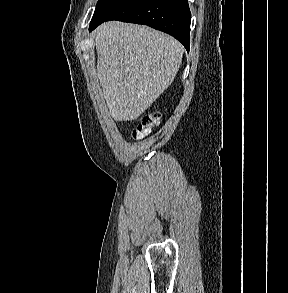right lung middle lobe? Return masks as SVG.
I'll return each mask as SVG.
<instances>
[{
	"instance_id": "dd1d6c3e",
	"label": "right lung middle lobe",
	"mask_w": 288,
	"mask_h": 293,
	"mask_svg": "<svg viewBox=\"0 0 288 293\" xmlns=\"http://www.w3.org/2000/svg\"><path fill=\"white\" fill-rule=\"evenodd\" d=\"M126 1L127 0H99L90 27L101 24Z\"/></svg>"
}]
</instances>
